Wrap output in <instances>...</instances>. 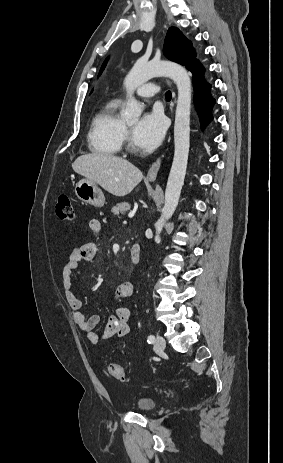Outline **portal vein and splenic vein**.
<instances>
[{
  "label": "portal vein and splenic vein",
  "mask_w": 283,
  "mask_h": 463,
  "mask_svg": "<svg viewBox=\"0 0 283 463\" xmlns=\"http://www.w3.org/2000/svg\"><path fill=\"white\" fill-rule=\"evenodd\" d=\"M134 214H135L134 212H130V213L128 214V216H129L130 218H132V217L134 216Z\"/></svg>",
  "instance_id": "18ae733b"
}]
</instances>
